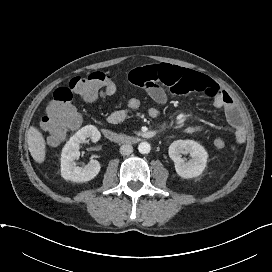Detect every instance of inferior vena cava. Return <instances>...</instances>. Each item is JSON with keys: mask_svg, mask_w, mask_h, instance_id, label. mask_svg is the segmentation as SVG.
Masks as SVG:
<instances>
[{"mask_svg": "<svg viewBox=\"0 0 272 272\" xmlns=\"http://www.w3.org/2000/svg\"><path fill=\"white\" fill-rule=\"evenodd\" d=\"M133 152V147L129 144H124L120 147V153L122 155H129Z\"/></svg>", "mask_w": 272, "mask_h": 272, "instance_id": "1", "label": "inferior vena cava"}]
</instances>
